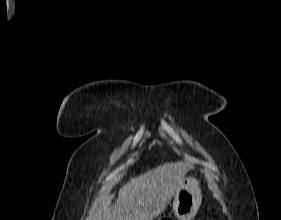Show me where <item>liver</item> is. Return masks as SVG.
I'll use <instances>...</instances> for the list:
<instances>
[{
  "mask_svg": "<svg viewBox=\"0 0 281 220\" xmlns=\"http://www.w3.org/2000/svg\"><path fill=\"white\" fill-rule=\"evenodd\" d=\"M190 166L171 162L141 174L121 187L111 205L108 196L92 220H153L168 206Z\"/></svg>",
  "mask_w": 281,
  "mask_h": 220,
  "instance_id": "liver-1",
  "label": "liver"
}]
</instances>
